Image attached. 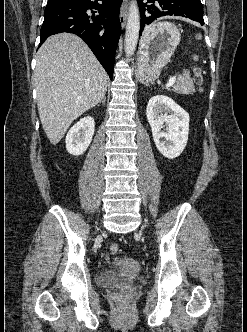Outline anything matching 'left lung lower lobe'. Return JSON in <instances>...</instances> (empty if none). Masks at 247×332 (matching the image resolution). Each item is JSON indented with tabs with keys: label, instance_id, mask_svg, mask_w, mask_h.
I'll return each mask as SVG.
<instances>
[{
	"label": "left lung lower lobe",
	"instance_id": "obj_1",
	"mask_svg": "<svg viewBox=\"0 0 247 332\" xmlns=\"http://www.w3.org/2000/svg\"><path fill=\"white\" fill-rule=\"evenodd\" d=\"M141 14L140 34L154 20L163 16H182L199 22L204 25L203 7L200 0H148L147 3L157 2L147 5L143 0H137Z\"/></svg>",
	"mask_w": 247,
	"mask_h": 332
}]
</instances>
